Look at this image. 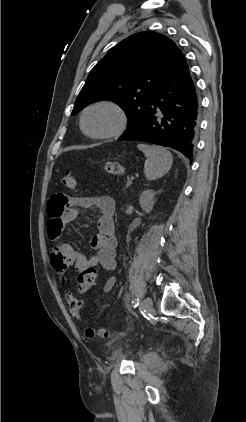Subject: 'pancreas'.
Returning <instances> with one entry per match:
<instances>
[{
    "instance_id": "pancreas-1",
    "label": "pancreas",
    "mask_w": 246,
    "mask_h": 422,
    "mask_svg": "<svg viewBox=\"0 0 246 422\" xmlns=\"http://www.w3.org/2000/svg\"><path fill=\"white\" fill-rule=\"evenodd\" d=\"M132 181L130 180V178H128V182L126 184V187H128L129 185H131Z\"/></svg>"
}]
</instances>
